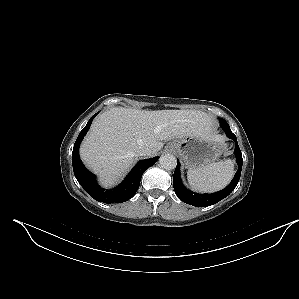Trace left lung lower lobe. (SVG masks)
I'll use <instances>...</instances> for the list:
<instances>
[{
	"label": "left lung lower lobe",
	"mask_w": 299,
	"mask_h": 299,
	"mask_svg": "<svg viewBox=\"0 0 299 299\" xmlns=\"http://www.w3.org/2000/svg\"><path fill=\"white\" fill-rule=\"evenodd\" d=\"M220 123L227 137L235 141L234 153L236 155V162L239 166V169L231 183L223 190L211 194H198L186 189L185 186L182 184L180 179V164L179 161H177V166L173 175V186L176 195L187 204L196 207H206L209 205H213L227 197L235 189L237 183L239 182L243 163L242 153L238 146L236 136L231 132L228 123L224 119H221Z\"/></svg>",
	"instance_id": "0a47b994"
}]
</instances>
